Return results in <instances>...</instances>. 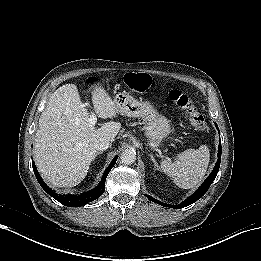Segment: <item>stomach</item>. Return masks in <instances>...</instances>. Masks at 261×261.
Listing matches in <instances>:
<instances>
[{
    "label": "stomach",
    "mask_w": 261,
    "mask_h": 261,
    "mask_svg": "<svg viewBox=\"0 0 261 261\" xmlns=\"http://www.w3.org/2000/svg\"><path fill=\"white\" fill-rule=\"evenodd\" d=\"M114 102L121 114L143 119L145 135L151 148H158L161 141L170 134L169 120L159 114L150 102L137 100L125 93L118 94Z\"/></svg>",
    "instance_id": "stomach-1"
}]
</instances>
